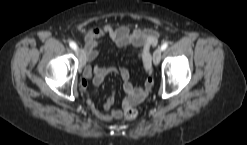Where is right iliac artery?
Masks as SVG:
<instances>
[{
  "instance_id": "82829eb1",
  "label": "right iliac artery",
  "mask_w": 247,
  "mask_h": 145,
  "mask_svg": "<svg viewBox=\"0 0 247 145\" xmlns=\"http://www.w3.org/2000/svg\"><path fill=\"white\" fill-rule=\"evenodd\" d=\"M69 45L72 49L77 50V45L74 42H70Z\"/></svg>"
}]
</instances>
